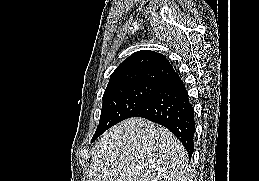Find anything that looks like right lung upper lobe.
<instances>
[{
    "label": "right lung upper lobe",
    "mask_w": 259,
    "mask_h": 181,
    "mask_svg": "<svg viewBox=\"0 0 259 181\" xmlns=\"http://www.w3.org/2000/svg\"><path fill=\"white\" fill-rule=\"evenodd\" d=\"M174 71L160 53L142 50L125 59L111 74L107 89L133 84H160Z\"/></svg>",
    "instance_id": "1"
}]
</instances>
